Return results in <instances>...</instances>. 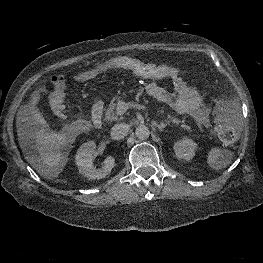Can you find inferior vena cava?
Listing matches in <instances>:
<instances>
[{"label":"inferior vena cava","instance_id":"inferior-vena-cava-1","mask_svg":"<svg viewBox=\"0 0 263 263\" xmlns=\"http://www.w3.org/2000/svg\"><path fill=\"white\" fill-rule=\"evenodd\" d=\"M129 131L128 125L125 123H119L112 127L111 129V137L116 140L123 139Z\"/></svg>","mask_w":263,"mask_h":263}]
</instances>
